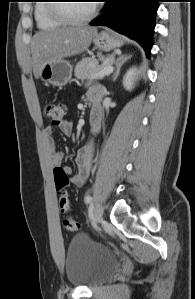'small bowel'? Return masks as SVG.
Wrapping results in <instances>:
<instances>
[{
    "mask_svg": "<svg viewBox=\"0 0 195 299\" xmlns=\"http://www.w3.org/2000/svg\"><path fill=\"white\" fill-rule=\"evenodd\" d=\"M101 96V90L99 87H91L87 92V97L89 101L95 105ZM92 128L96 130L98 128V117L95 112H93L91 119H90ZM60 131L65 135H70L73 130V123L70 120H64L61 122V124L58 125ZM43 138L47 145L51 163L53 166H60L63 159L64 154L63 152L59 151L56 146L53 139V127L52 126H46L43 130ZM93 153L94 149L92 144H86L82 147H80L76 151L75 155V163L78 167V172L73 174L72 169L70 167H63L65 172L69 175H71V182L74 186L81 187L84 185L90 171L92 168V160H93Z\"/></svg>",
    "mask_w": 195,
    "mask_h": 299,
    "instance_id": "obj_1",
    "label": "small bowel"
}]
</instances>
